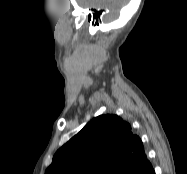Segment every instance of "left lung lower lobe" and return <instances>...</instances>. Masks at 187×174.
<instances>
[{
	"instance_id": "obj_1",
	"label": "left lung lower lobe",
	"mask_w": 187,
	"mask_h": 174,
	"mask_svg": "<svg viewBox=\"0 0 187 174\" xmlns=\"http://www.w3.org/2000/svg\"><path fill=\"white\" fill-rule=\"evenodd\" d=\"M132 174H155L153 167L151 164H149L147 167L142 169L141 171H138L137 168L132 172Z\"/></svg>"
}]
</instances>
